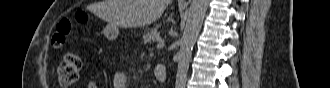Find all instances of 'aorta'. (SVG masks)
<instances>
[{
	"label": "aorta",
	"instance_id": "aorta-1",
	"mask_svg": "<svg viewBox=\"0 0 330 88\" xmlns=\"http://www.w3.org/2000/svg\"><path fill=\"white\" fill-rule=\"evenodd\" d=\"M209 0H192L183 36L180 40L179 62L175 88H185L192 49L202 26Z\"/></svg>",
	"mask_w": 330,
	"mask_h": 88
}]
</instances>
